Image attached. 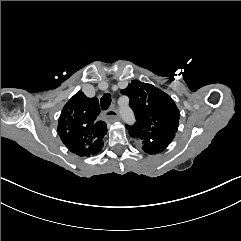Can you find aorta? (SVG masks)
Returning a JSON list of instances; mask_svg holds the SVG:
<instances>
[{
    "label": "aorta",
    "mask_w": 241,
    "mask_h": 241,
    "mask_svg": "<svg viewBox=\"0 0 241 241\" xmlns=\"http://www.w3.org/2000/svg\"><path fill=\"white\" fill-rule=\"evenodd\" d=\"M121 113H122L123 119H124L126 122H132V121H134L133 115H132L131 111H130L127 107H123V108L121 109Z\"/></svg>",
    "instance_id": "1"
}]
</instances>
